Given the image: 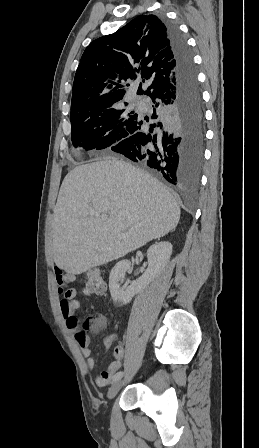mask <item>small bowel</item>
Masks as SVG:
<instances>
[{
  "instance_id": "small-bowel-1",
  "label": "small bowel",
  "mask_w": 259,
  "mask_h": 448,
  "mask_svg": "<svg viewBox=\"0 0 259 448\" xmlns=\"http://www.w3.org/2000/svg\"><path fill=\"white\" fill-rule=\"evenodd\" d=\"M55 279L59 291L63 293V298L60 301V310L65 320L66 326L74 332L75 339L79 345L80 351L85 358V366L87 370L95 368V360L92 357L90 349L89 336L81 330V326L76 312L80 309V302L78 300V292L73 288H68L69 284L75 281V276L66 274L60 268H55ZM115 339L114 335H108L104 338V346L109 349ZM124 355V347L119 345L114 349V360L110 363L108 368L96 375L94 378L98 386L107 385L113 379L116 372L121 368V359Z\"/></svg>"
}]
</instances>
